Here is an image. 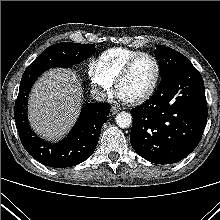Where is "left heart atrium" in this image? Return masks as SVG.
I'll use <instances>...</instances> for the list:
<instances>
[{
    "instance_id": "1",
    "label": "left heart atrium",
    "mask_w": 220,
    "mask_h": 220,
    "mask_svg": "<svg viewBox=\"0 0 220 220\" xmlns=\"http://www.w3.org/2000/svg\"><path fill=\"white\" fill-rule=\"evenodd\" d=\"M117 97L121 101H129L123 94H121L119 91L117 93Z\"/></svg>"
}]
</instances>
